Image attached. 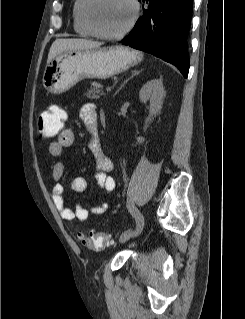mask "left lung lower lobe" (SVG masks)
Masks as SVG:
<instances>
[{
  "label": "left lung lower lobe",
  "instance_id": "left-lung-lower-lobe-1",
  "mask_svg": "<svg viewBox=\"0 0 245 319\" xmlns=\"http://www.w3.org/2000/svg\"><path fill=\"white\" fill-rule=\"evenodd\" d=\"M148 3L122 44L151 53L175 65L186 78L189 71L187 37L193 0H142Z\"/></svg>",
  "mask_w": 245,
  "mask_h": 319
}]
</instances>
